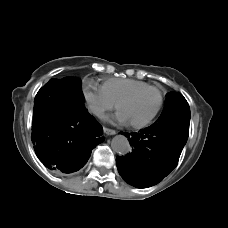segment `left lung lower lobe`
Returning a JSON list of instances; mask_svg holds the SVG:
<instances>
[{
  "instance_id": "0a47b994",
  "label": "left lung lower lobe",
  "mask_w": 228,
  "mask_h": 228,
  "mask_svg": "<svg viewBox=\"0 0 228 228\" xmlns=\"http://www.w3.org/2000/svg\"><path fill=\"white\" fill-rule=\"evenodd\" d=\"M155 122L138 133H125L134 147L127 156L116 157L123 179L138 188L157 184L177 165L188 136L185 128Z\"/></svg>"
}]
</instances>
